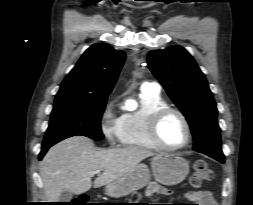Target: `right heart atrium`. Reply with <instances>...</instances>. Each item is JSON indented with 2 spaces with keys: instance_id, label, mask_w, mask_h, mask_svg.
I'll list each match as a JSON object with an SVG mask.
<instances>
[{
  "instance_id": "right-heart-atrium-1",
  "label": "right heart atrium",
  "mask_w": 253,
  "mask_h": 205,
  "mask_svg": "<svg viewBox=\"0 0 253 205\" xmlns=\"http://www.w3.org/2000/svg\"><path fill=\"white\" fill-rule=\"evenodd\" d=\"M120 126V117L115 114V104L110 101L105 105L100 117L101 132L110 144L119 140Z\"/></svg>"
}]
</instances>
